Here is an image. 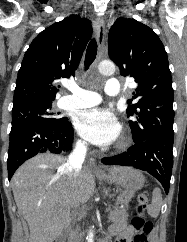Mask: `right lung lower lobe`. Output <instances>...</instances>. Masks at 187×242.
<instances>
[{"label": "right lung lower lobe", "instance_id": "right-lung-lower-lobe-1", "mask_svg": "<svg viewBox=\"0 0 187 242\" xmlns=\"http://www.w3.org/2000/svg\"><path fill=\"white\" fill-rule=\"evenodd\" d=\"M73 128L67 121L62 125L26 124L11 128L8 150V178L27 159L38 153L60 154L72 149Z\"/></svg>", "mask_w": 187, "mask_h": 242}]
</instances>
